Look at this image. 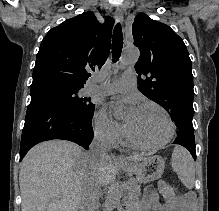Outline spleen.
Returning a JSON list of instances; mask_svg holds the SVG:
<instances>
[{"instance_id":"3e777b00","label":"spleen","mask_w":219,"mask_h":211,"mask_svg":"<svg viewBox=\"0 0 219 211\" xmlns=\"http://www.w3.org/2000/svg\"><path fill=\"white\" fill-rule=\"evenodd\" d=\"M171 163L185 187L192 189L195 181V165L189 151L182 145H175Z\"/></svg>"}]
</instances>
